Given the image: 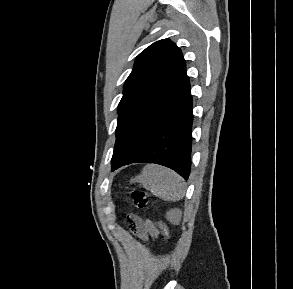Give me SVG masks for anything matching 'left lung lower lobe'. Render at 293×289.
<instances>
[{
	"instance_id": "1",
	"label": "left lung lower lobe",
	"mask_w": 293,
	"mask_h": 289,
	"mask_svg": "<svg viewBox=\"0 0 293 289\" xmlns=\"http://www.w3.org/2000/svg\"><path fill=\"white\" fill-rule=\"evenodd\" d=\"M192 122V97L185 73L124 133L118 145L131 158L116 169L131 163H156L175 170L187 180L191 168Z\"/></svg>"
}]
</instances>
